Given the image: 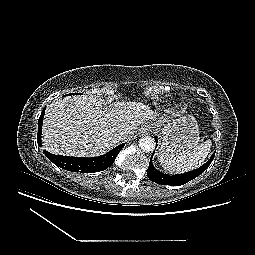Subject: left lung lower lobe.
Returning a JSON list of instances; mask_svg holds the SVG:
<instances>
[{"label": "left lung lower lobe", "mask_w": 255, "mask_h": 255, "mask_svg": "<svg viewBox=\"0 0 255 255\" xmlns=\"http://www.w3.org/2000/svg\"><path fill=\"white\" fill-rule=\"evenodd\" d=\"M157 142V139H156ZM213 154L210 158V160L205 163L202 167H200L199 169L186 173V174H182V175H167L164 174L160 171H158L152 163V157L150 159V163H149V167L147 170V176L148 178L158 184H162V185H170V186H179V185H183L189 181H191L192 179L196 178L197 176H199L200 174H202L211 164V162L213 161L214 158Z\"/></svg>", "instance_id": "left-lung-lower-lobe-1"}]
</instances>
